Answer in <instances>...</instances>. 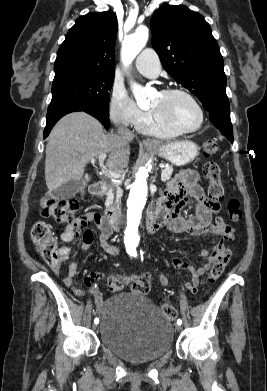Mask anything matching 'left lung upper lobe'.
I'll list each match as a JSON object with an SVG mask.
<instances>
[{
  "label": "left lung upper lobe",
  "instance_id": "obj_1",
  "mask_svg": "<svg viewBox=\"0 0 267 391\" xmlns=\"http://www.w3.org/2000/svg\"><path fill=\"white\" fill-rule=\"evenodd\" d=\"M150 26L152 46L164 69L208 112L229 107L223 58L204 17L182 5H163Z\"/></svg>",
  "mask_w": 267,
  "mask_h": 391
}]
</instances>
